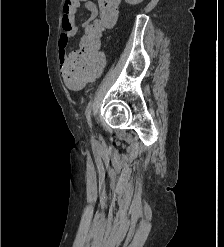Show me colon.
I'll list each match as a JSON object with an SVG mask.
<instances>
[{"mask_svg":"<svg viewBox=\"0 0 224 247\" xmlns=\"http://www.w3.org/2000/svg\"><path fill=\"white\" fill-rule=\"evenodd\" d=\"M120 0H98L99 20L87 28L79 52L61 63V73L66 83L77 87L97 76L103 61L99 56L101 32L112 27L118 16ZM77 7L76 0H65L62 15L69 17Z\"/></svg>","mask_w":224,"mask_h":247,"instance_id":"obj_1","label":"colon"}]
</instances>
